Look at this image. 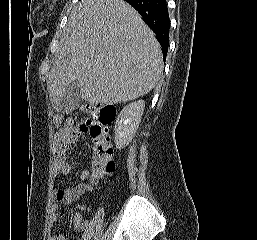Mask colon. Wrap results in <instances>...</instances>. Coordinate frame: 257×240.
<instances>
[{
  "label": "colon",
  "mask_w": 257,
  "mask_h": 240,
  "mask_svg": "<svg viewBox=\"0 0 257 240\" xmlns=\"http://www.w3.org/2000/svg\"><path fill=\"white\" fill-rule=\"evenodd\" d=\"M114 116L115 109L111 105L92 106L83 124L93 140L94 154L90 187L97 185L104 176L112 174L115 170L108 135V126L112 123Z\"/></svg>",
  "instance_id": "colon-1"
}]
</instances>
